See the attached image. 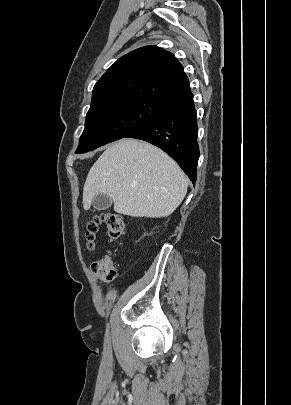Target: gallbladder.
I'll return each instance as SVG.
<instances>
[{"label":"gallbladder","instance_id":"gallbladder-1","mask_svg":"<svg viewBox=\"0 0 291 405\" xmlns=\"http://www.w3.org/2000/svg\"><path fill=\"white\" fill-rule=\"evenodd\" d=\"M93 207L96 210H105L112 205V199L104 194H98L93 198Z\"/></svg>","mask_w":291,"mask_h":405}]
</instances>
